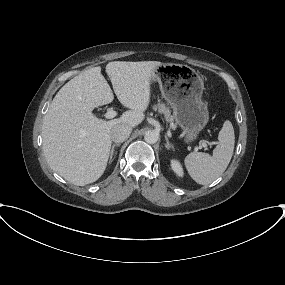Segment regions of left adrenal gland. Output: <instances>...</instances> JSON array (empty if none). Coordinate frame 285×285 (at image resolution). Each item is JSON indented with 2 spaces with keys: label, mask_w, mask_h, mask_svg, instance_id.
I'll list each match as a JSON object with an SVG mask.
<instances>
[{
  "label": "left adrenal gland",
  "mask_w": 285,
  "mask_h": 285,
  "mask_svg": "<svg viewBox=\"0 0 285 285\" xmlns=\"http://www.w3.org/2000/svg\"><path fill=\"white\" fill-rule=\"evenodd\" d=\"M165 140H166V145H165L166 149H167V150L172 149V150L174 151V147H173L172 144L169 143V140H168V137H167V136H165Z\"/></svg>",
  "instance_id": "obj_1"
}]
</instances>
